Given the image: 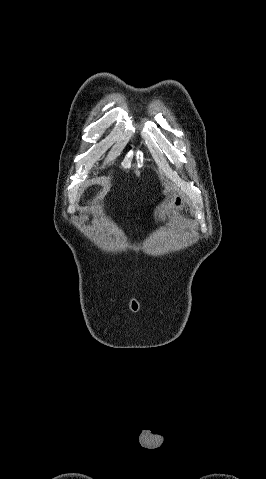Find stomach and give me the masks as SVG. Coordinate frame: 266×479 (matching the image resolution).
<instances>
[{"mask_svg": "<svg viewBox=\"0 0 266 479\" xmlns=\"http://www.w3.org/2000/svg\"><path fill=\"white\" fill-rule=\"evenodd\" d=\"M185 206V199L181 195L172 192L160 205H158L155 210V217L165 220L166 216L172 212L183 210Z\"/></svg>", "mask_w": 266, "mask_h": 479, "instance_id": "0dacf381", "label": "stomach"}]
</instances>
